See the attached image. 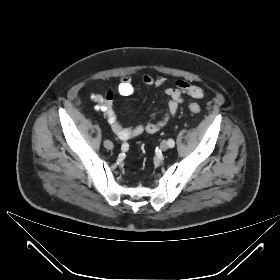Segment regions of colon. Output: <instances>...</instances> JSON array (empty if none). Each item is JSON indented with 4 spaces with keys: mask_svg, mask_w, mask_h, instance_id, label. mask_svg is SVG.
Returning <instances> with one entry per match:
<instances>
[{
    "mask_svg": "<svg viewBox=\"0 0 280 280\" xmlns=\"http://www.w3.org/2000/svg\"><path fill=\"white\" fill-rule=\"evenodd\" d=\"M189 110L193 113H198V112H200L201 108L197 103H191L189 105Z\"/></svg>",
    "mask_w": 280,
    "mask_h": 280,
    "instance_id": "colon-1",
    "label": "colon"
}]
</instances>
